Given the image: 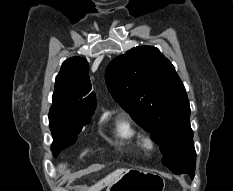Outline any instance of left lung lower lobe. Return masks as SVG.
Returning a JSON list of instances; mask_svg holds the SVG:
<instances>
[{"instance_id": "left-lung-lower-lobe-1", "label": "left lung lower lobe", "mask_w": 233, "mask_h": 191, "mask_svg": "<svg viewBox=\"0 0 233 191\" xmlns=\"http://www.w3.org/2000/svg\"><path fill=\"white\" fill-rule=\"evenodd\" d=\"M194 172H195V167L194 168H185V169H182L180 171H173L174 174H180V173H187L188 175H190L191 179L194 178Z\"/></svg>"}]
</instances>
